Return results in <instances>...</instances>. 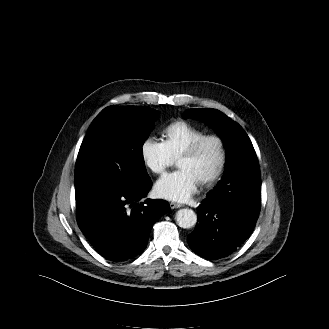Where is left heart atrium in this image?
I'll return each instance as SVG.
<instances>
[{
  "mask_svg": "<svg viewBox=\"0 0 329 329\" xmlns=\"http://www.w3.org/2000/svg\"><path fill=\"white\" fill-rule=\"evenodd\" d=\"M199 181L187 169H179L159 179L155 184L157 196L174 201H187L198 188Z\"/></svg>",
  "mask_w": 329,
  "mask_h": 329,
  "instance_id": "1",
  "label": "left heart atrium"
}]
</instances>
